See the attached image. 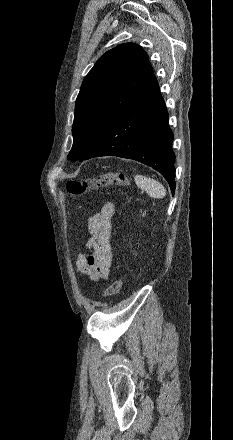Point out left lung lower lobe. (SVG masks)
<instances>
[{"instance_id":"obj_1","label":"left lung lower lobe","mask_w":233,"mask_h":440,"mask_svg":"<svg viewBox=\"0 0 233 440\" xmlns=\"http://www.w3.org/2000/svg\"><path fill=\"white\" fill-rule=\"evenodd\" d=\"M168 112L152 75L112 122L103 140L87 156H118L140 161L158 172L175 191V155Z\"/></svg>"}]
</instances>
